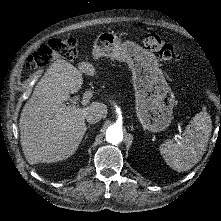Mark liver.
Here are the masks:
<instances>
[{"label": "liver", "instance_id": "6515ba94", "mask_svg": "<svg viewBox=\"0 0 221 221\" xmlns=\"http://www.w3.org/2000/svg\"><path fill=\"white\" fill-rule=\"evenodd\" d=\"M97 74L93 64L81 62L78 68L65 60L51 64L24 105L20 119V141L27 162L31 165L65 160L80 145L87 126L86 115L100 112L106 118L103 103L92 102L83 108H65L70 94L83 84L82 75Z\"/></svg>", "mask_w": 221, "mask_h": 221}]
</instances>
